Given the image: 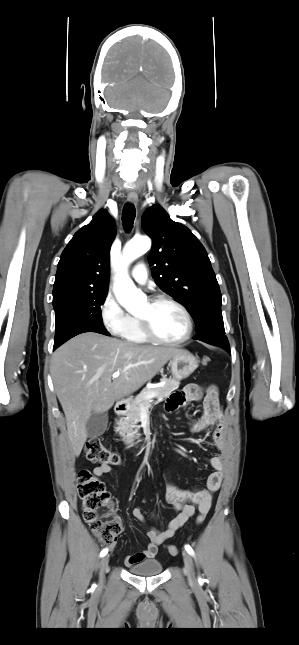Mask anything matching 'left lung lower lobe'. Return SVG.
Here are the masks:
<instances>
[{
  "mask_svg": "<svg viewBox=\"0 0 299 645\" xmlns=\"http://www.w3.org/2000/svg\"><path fill=\"white\" fill-rule=\"evenodd\" d=\"M214 345H219V346L223 347L224 349H226L230 353L229 342H228L227 339H225V340H223L221 342H218L217 344H214Z\"/></svg>",
  "mask_w": 299,
  "mask_h": 645,
  "instance_id": "0a47b994",
  "label": "left lung lower lobe"
}]
</instances>
